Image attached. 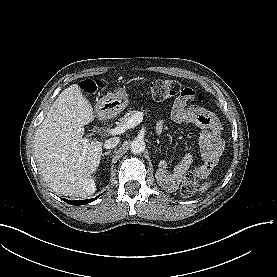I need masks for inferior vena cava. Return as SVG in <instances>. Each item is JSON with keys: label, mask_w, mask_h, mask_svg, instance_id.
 <instances>
[{"label": "inferior vena cava", "mask_w": 277, "mask_h": 277, "mask_svg": "<svg viewBox=\"0 0 277 277\" xmlns=\"http://www.w3.org/2000/svg\"><path fill=\"white\" fill-rule=\"evenodd\" d=\"M119 137H112L105 141L104 148L105 149H112L119 144Z\"/></svg>", "instance_id": "1"}]
</instances>
